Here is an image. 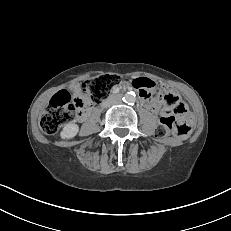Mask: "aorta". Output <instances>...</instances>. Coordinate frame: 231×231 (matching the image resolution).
Here are the masks:
<instances>
[{
	"label": "aorta",
	"instance_id": "obj_1",
	"mask_svg": "<svg viewBox=\"0 0 231 231\" xmlns=\"http://www.w3.org/2000/svg\"><path fill=\"white\" fill-rule=\"evenodd\" d=\"M126 102H134L135 96L132 93H127L124 97Z\"/></svg>",
	"mask_w": 231,
	"mask_h": 231
}]
</instances>
